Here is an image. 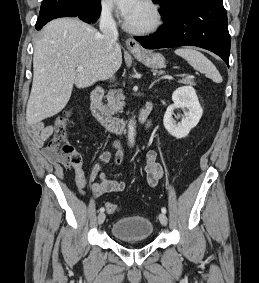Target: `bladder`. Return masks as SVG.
<instances>
[{
  "label": "bladder",
  "mask_w": 259,
  "mask_h": 283,
  "mask_svg": "<svg viewBox=\"0 0 259 283\" xmlns=\"http://www.w3.org/2000/svg\"><path fill=\"white\" fill-rule=\"evenodd\" d=\"M153 233L152 222L142 216L124 217L113 223L111 234L120 240L149 239Z\"/></svg>",
  "instance_id": "1"
}]
</instances>
